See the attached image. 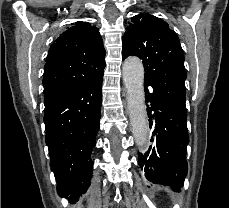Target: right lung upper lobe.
<instances>
[{
	"label": "right lung upper lobe",
	"instance_id": "1",
	"mask_svg": "<svg viewBox=\"0 0 229 208\" xmlns=\"http://www.w3.org/2000/svg\"><path fill=\"white\" fill-rule=\"evenodd\" d=\"M105 49L97 27L78 21L48 52L44 67V103L94 78L105 67Z\"/></svg>",
	"mask_w": 229,
	"mask_h": 208
}]
</instances>
